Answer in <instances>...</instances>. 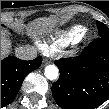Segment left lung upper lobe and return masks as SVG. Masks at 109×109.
Masks as SVG:
<instances>
[{"label":"left lung upper lobe","mask_w":109,"mask_h":109,"mask_svg":"<svg viewBox=\"0 0 109 109\" xmlns=\"http://www.w3.org/2000/svg\"><path fill=\"white\" fill-rule=\"evenodd\" d=\"M97 28L100 37L109 38V29L104 23L97 21Z\"/></svg>","instance_id":"5c2ea615"}]
</instances>
